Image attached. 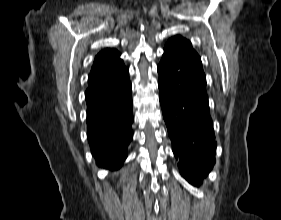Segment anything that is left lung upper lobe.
<instances>
[{
  "label": "left lung upper lobe",
  "instance_id": "obj_1",
  "mask_svg": "<svg viewBox=\"0 0 281 220\" xmlns=\"http://www.w3.org/2000/svg\"><path fill=\"white\" fill-rule=\"evenodd\" d=\"M176 50H183L189 53L197 54L192 48L190 41L181 36H174L170 38L164 47V52H172Z\"/></svg>",
  "mask_w": 281,
  "mask_h": 220
}]
</instances>
